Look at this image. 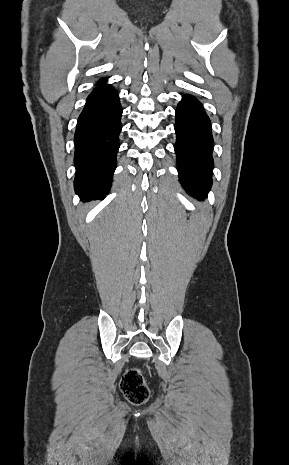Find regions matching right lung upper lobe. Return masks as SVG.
I'll return each instance as SVG.
<instances>
[{"mask_svg": "<svg viewBox=\"0 0 289 465\" xmlns=\"http://www.w3.org/2000/svg\"><path fill=\"white\" fill-rule=\"evenodd\" d=\"M105 81V79H101L100 82Z\"/></svg>", "mask_w": 289, "mask_h": 465, "instance_id": "1", "label": "right lung upper lobe"}]
</instances>
